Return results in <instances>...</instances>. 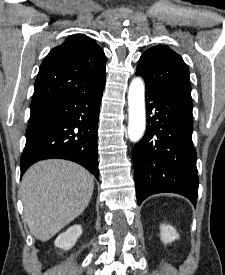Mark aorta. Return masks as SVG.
Instances as JSON below:
<instances>
[{"instance_id":"1","label":"aorta","mask_w":225,"mask_h":275,"mask_svg":"<svg viewBox=\"0 0 225 275\" xmlns=\"http://www.w3.org/2000/svg\"><path fill=\"white\" fill-rule=\"evenodd\" d=\"M128 137L130 141H139L146 128L145 85L140 77L134 78L128 91Z\"/></svg>"}]
</instances>
